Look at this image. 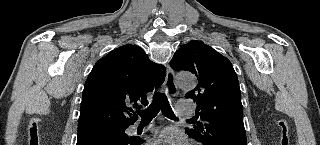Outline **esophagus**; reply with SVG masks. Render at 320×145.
Segmentation results:
<instances>
[{"mask_svg":"<svg viewBox=\"0 0 320 145\" xmlns=\"http://www.w3.org/2000/svg\"><path fill=\"white\" fill-rule=\"evenodd\" d=\"M165 90L166 93L170 96H174L177 92V85L175 82V76L173 70L168 66L167 67V73L165 77Z\"/></svg>","mask_w":320,"mask_h":145,"instance_id":"obj_1","label":"esophagus"}]
</instances>
